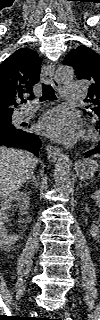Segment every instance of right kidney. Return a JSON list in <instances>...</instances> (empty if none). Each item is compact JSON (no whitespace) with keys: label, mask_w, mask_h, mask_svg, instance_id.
<instances>
[{"label":"right kidney","mask_w":100,"mask_h":320,"mask_svg":"<svg viewBox=\"0 0 100 320\" xmlns=\"http://www.w3.org/2000/svg\"><path fill=\"white\" fill-rule=\"evenodd\" d=\"M30 198L26 192L16 191L1 198L0 201V244L9 250L21 237L8 234L7 223L11 211L27 214Z\"/></svg>","instance_id":"ca27d5eb"}]
</instances>
